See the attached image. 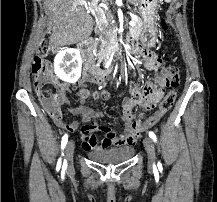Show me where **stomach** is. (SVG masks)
<instances>
[{
    "mask_svg": "<svg viewBox=\"0 0 217 202\" xmlns=\"http://www.w3.org/2000/svg\"><path fill=\"white\" fill-rule=\"evenodd\" d=\"M160 0H140L138 12L143 20L139 42L145 48H155L158 36L157 20Z\"/></svg>",
    "mask_w": 217,
    "mask_h": 202,
    "instance_id": "1",
    "label": "stomach"
}]
</instances>
